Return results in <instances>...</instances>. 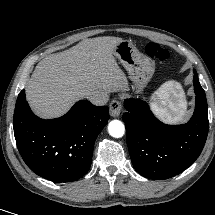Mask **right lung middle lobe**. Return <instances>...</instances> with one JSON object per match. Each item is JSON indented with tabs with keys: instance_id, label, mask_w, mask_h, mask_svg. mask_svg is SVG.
Instances as JSON below:
<instances>
[{
	"instance_id": "right-lung-middle-lobe-1",
	"label": "right lung middle lobe",
	"mask_w": 215,
	"mask_h": 215,
	"mask_svg": "<svg viewBox=\"0 0 215 215\" xmlns=\"http://www.w3.org/2000/svg\"><path fill=\"white\" fill-rule=\"evenodd\" d=\"M20 108H21V106L18 103H16V107H15V112L14 113L18 112Z\"/></svg>"
}]
</instances>
